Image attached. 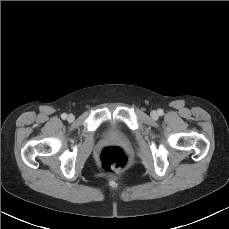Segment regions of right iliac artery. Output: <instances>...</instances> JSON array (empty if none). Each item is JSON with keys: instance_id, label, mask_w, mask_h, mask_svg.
<instances>
[{"instance_id": "1", "label": "right iliac artery", "mask_w": 229, "mask_h": 229, "mask_svg": "<svg viewBox=\"0 0 229 229\" xmlns=\"http://www.w3.org/2000/svg\"><path fill=\"white\" fill-rule=\"evenodd\" d=\"M61 117H62V119H66V118H67V114L63 113V114L61 115Z\"/></svg>"}]
</instances>
